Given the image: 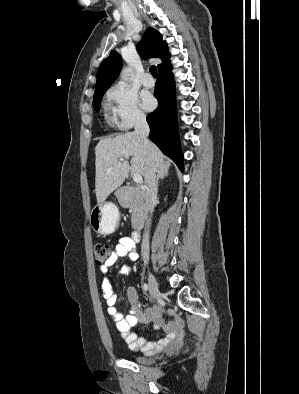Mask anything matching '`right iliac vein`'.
<instances>
[{"label":"right iliac vein","mask_w":299,"mask_h":394,"mask_svg":"<svg viewBox=\"0 0 299 394\" xmlns=\"http://www.w3.org/2000/svg\"><path fill=\"white\" fill-rule=\"evenodd\" d=\"M148 284H149V292L151 298L156 299L159 296V288H158V283L151 272H149Z\"/></svg>","instance_id":"right-iliac-vein-1"}]
</instances>
